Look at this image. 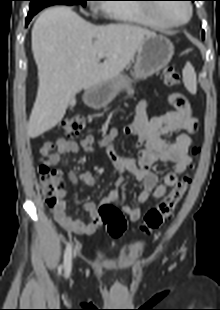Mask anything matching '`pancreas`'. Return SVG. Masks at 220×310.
<instances>
[{
	"instance_id": "obj_1",
	"label": "pancreas",
	"mask_w": 220,
	"mask_h": 310,
	"mask_svg": "<svg viewBox=\"0 0 220 310\" xmlns=\"http://www.w3.org/2000/svg\"><path fill=\"white\" fill-rule=\"evenodd\" d=\"M125 87L127 89L128 94H130V95L134 94V90L130 87L129 84H126Z\"/></svg>"
}]
</instances>
